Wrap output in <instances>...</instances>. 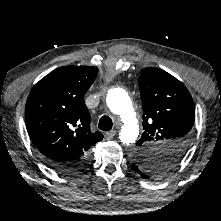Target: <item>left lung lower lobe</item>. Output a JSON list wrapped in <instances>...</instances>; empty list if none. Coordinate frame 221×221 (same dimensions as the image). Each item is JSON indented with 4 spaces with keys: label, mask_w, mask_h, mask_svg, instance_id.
I'll return each instance as SVG.
<instances>
[{
    "label": "left lung lower lobe",
    "mask_w": 221,
    "mask_h": 221,
    "mask_svg": "<svg viewBox=\"0 0 221 221\" xmlns=\"http://www.w3.org/2000/svg\"><path fill=\"white\" fill-rule=\"evenodd\" d=\"M131 168L137 172L139 175H141V177L145 178V177H148L149 178V175L146 173L147 171H145L144 167H140L137 163H132L131 164Z\"/></svg>",
    "instance_id": "left-lung-lower-lobe-1"
}]
</instances>
